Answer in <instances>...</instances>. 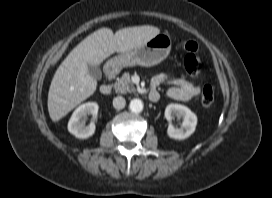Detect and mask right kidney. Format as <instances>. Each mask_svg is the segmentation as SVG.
Wrapping results in <instances>:
<instances>
[{"label": "right kidney", "instance_id": "1", "mask_svg": "<svg viewBox=\"0 0 272 198\" xmlns=\"http://www.w3.org/2000/svg\"><path fill=\"white\" fill-rule=\"evenodd\" d=\"M99 106L95 102H87L80 105L73 112L69 122L68 131L75 137L86 139L92 136L95 132V124L91 122L88 126L82 120L87 114H92L94 118L98 115Z\"/></svg>", "mask_w": 272, "mask_h": 198}]
</instances>
